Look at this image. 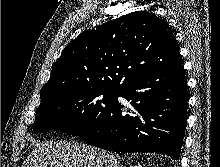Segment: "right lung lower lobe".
<instances>
[{
	"instance_id": "1",
	"label": "right lung lower lobe",
	"mask_w": 220,
	"mask_h": 167,
	"mask_svg": "<svg viewBox=\"0 0 220 167\" xmlns=\"http://www.w3.org/2000/svg\"><path fill=\"white\" fill-rule=\"evenodd\" d=\"M130 102L129 114L117 97ZM187 79L179 67L139 78L122 87L101 120L79 135L114 152L163 153L179 158L187 119Z\"/></svg>"
}]
</instances>
